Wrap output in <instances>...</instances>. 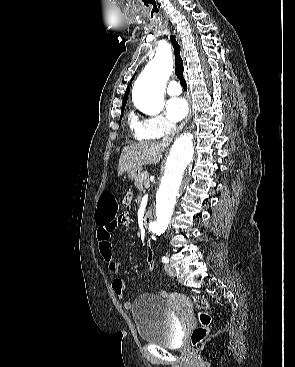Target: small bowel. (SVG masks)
<instances>
[{"label": "small bowel", "instance_id": "obj_1", "mask_svg": "<svg viewBox=\"0 0 295 367\" xmlns=\"http://www.w3.org/2000/svg\"><path fill=\"white\" fill-rule=\"evenodd\" d=\"M132 199V195L128 193L124 200L127 201L126 205H129ZM119 219H113L108 222H100L97 219V243L100 255L107 267V269L114 274H117L121 268L122 263L116 261L113 258L112 244H111V235L115 231L118 225L129 226L130 219L126 212L118 213ZM112 290L114 294L119 299H123L126 292V283L121 278H115L112 281ZM125 309H130L132 307V303L130 301H124L123 303Z\"/></svg>", "mask_w": 295, "mask_h": 367}]
</instances>
